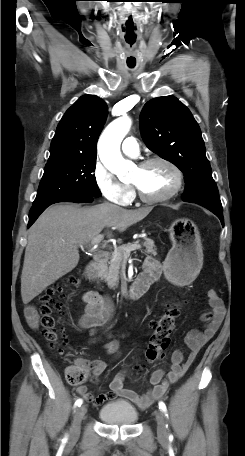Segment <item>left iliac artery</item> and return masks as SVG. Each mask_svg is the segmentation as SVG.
I'll list each match as a JSON object with an SVG mask.
<instances>
[{"label":"left iliac artery","instance_id":"obj_1","mask_svg":"<svg viewBox=\"0 0 245 456\" xmlns=\"http://www.w3.org/2000/svg\"><path fill=\"white\" fill-rule=\"evenodd\" d=\"M159 409H161V411L164 412L166 416H168L167 415V408H166V405H165L164 402H162V401L159 402Z\"/></svg>","mask_w":245,"mask_h":456}]
</instances>
